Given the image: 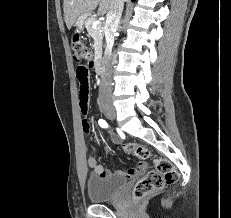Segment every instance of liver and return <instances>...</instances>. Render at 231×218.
<instances>
[{"label":"liver","instance_id":"6515ba94","mask_svg":"<svg viewBox=\"0 0 231 218\" xmlns=\"http://www.w3.org/2000/svg\"><path fill=\"white\" fill-rule=\"evenodd\" d=\"M112 0H64V19L68 29H71L80 16H89L99 5L98 14L104 15L111 9Z\"/></svg>","mask_w":231,"mask_h":218}]
</instances>
